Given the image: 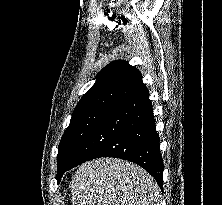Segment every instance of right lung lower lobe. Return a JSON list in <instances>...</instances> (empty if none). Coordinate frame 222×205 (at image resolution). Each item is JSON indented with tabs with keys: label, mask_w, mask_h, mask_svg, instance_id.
Masks as SVG:
<instances>
[{
	"label": "right lung lower lobe",
	"mask_w": 222,
	"mask_h": 205,
	"mask_svg": "<svg viewBox=\"0 0 222 205\" xmlns=\"http://www.w3.org/2000/svg\"><path fill=\"white\" fill-rule=\"evenodd\" d=\"M159 143L145 86L106 113L83 142L67 170L99 157L120 158L143 167L162 188L164 166Z\"/></svg>",
	"instance_id": "1"
}]
</instances>
